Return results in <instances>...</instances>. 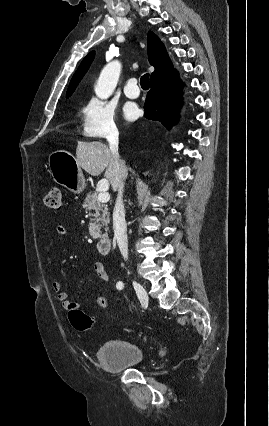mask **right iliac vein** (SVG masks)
<instances>
[{
    "instance_id": "63e3f726",
    "label": "right iliac vein",
    "mask_w": 269,
    "mask_h": 426,
    "mask_svg": "<svg viewBox=\"0 0 269 426\" xmlns=\"http://www.w3.org/2000/svg\"><path fill=\"white\" fill-rule=\"evenodd\" d=\"M133 286H134V289L136 290V293L138 295V298H139L141 304L144 307H147L148 303H149V297H148V294H147L145 288L137 281H133Z\"/></svg>"
}]
</instances>
